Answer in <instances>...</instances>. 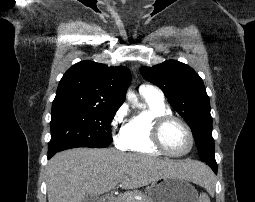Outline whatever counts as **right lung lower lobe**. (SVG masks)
Masks as SVG:
<instances>
[{"label": "right lung lower lobe", "mask_w": 255, "mask_h": 202, "mask_svg": "<svg viewBox=\"0 0 255 202\" xmlns=\"http://www.w3.org/2000/svg\"><path fill=\"white\" fill-rule=\"evenodd\" d=\"M53 155H51V154H48V158H51Z\"/></svg>", "instance_id": "1"}]
</instances>
